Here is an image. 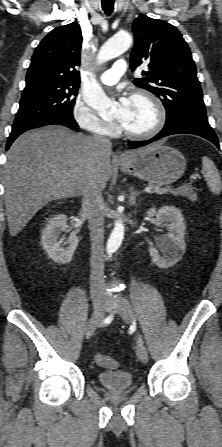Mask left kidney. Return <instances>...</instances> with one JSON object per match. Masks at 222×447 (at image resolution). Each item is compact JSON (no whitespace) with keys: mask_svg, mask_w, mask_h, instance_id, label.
I'll use <instances>...</instances> for the list:
<instances>
[{"mask_svg":"<svg viewBox=\"0 0 222 447\" xmlns=\"http://www.w3.org/2000/svg\"><path fill=\"white\" fill-rule=\"evenodd\" d=\"M147 216L153 219L155 224L160 226L164 223L168 234L158 239V247L162 255L158 254L155 248H150L149 253L152 261L159 268H170L174 266L182 257L186 249L184 241L186 226L181 211L174 206H163L158 211L150 208Z\"/></svg>","mask_w":222,"mask_h":447,"instance_id":"1","label":"left kidney"}]
</instances>
